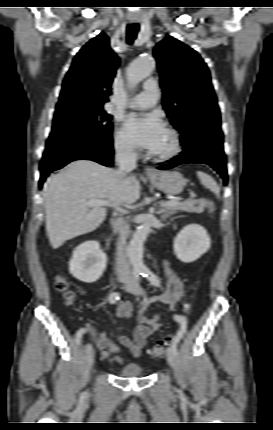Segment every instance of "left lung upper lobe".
<instances>
[{
	"label": "left lung upper lobe",
	"instance_id": "obj_1",
	"mask_svg": "<svg viewBox=\"0 0 273 430\" xmlns=\"http://www.w3.org/2000/svg\"><path fill=\"white\" fill-rule=\"evenodd\" d=\"M163 89V108L181 135L205 124L221 123L210 72L200 55L167 36L154 49Z\"/></svg>",
	"mask_w": 273,
	"mask_h": 430
}]
</instances>
